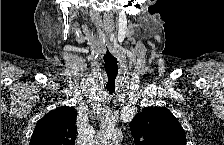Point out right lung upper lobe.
<instances>
[{"instance_id": "right-lung-upper-lobe-1", "label": "right lung upper lobe", "mask_w": 224, "mask_h": 145, "mask_svg": "<svg viewBox=\"0 0 224 145\" xmlns=\"http://www.w3.org/2000/svg\"><path fill=\"white\" fill-rule=\"evenodd\" d=\"M76 114L68 106L50 111L37 122L30 145H73Z\"/></svg>"}]
</instances>
